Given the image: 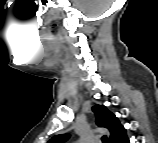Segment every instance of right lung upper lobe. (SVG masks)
Returning a JSON list of instances; mask_svg holds the SVG:
<instances>
[{"instance_id":"cb5924a9","label":"right lung upper lobe","mask_w":158,"mask_h":143,"mask_svg":"<svg viewBox=\"0 0 158 143\" xmlns=\"http://www.w3.org/2000/svg\"><path fill=\"white\" fill-rule=\"evenodd\" d=\"M92 110L96 115V124L110 132V143H121L127 138L125 128L105 106L95 105ZM69 137L68 134L56 135L50 139L49 143H65Z\"/></svg>"}]
</instances>
